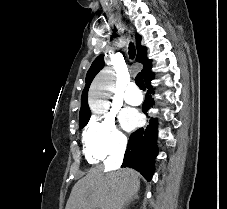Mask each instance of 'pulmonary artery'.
Masks as SVG:
<instances>
[{
	"instance_id": "pulmonary-artery-1",
	"label": "pulmonary artery",
	"mask_w": 227,
	"mask_h": 209,
	"mask_svg": "<svg viewBox=\"0 0 227 209\" xmlns=\"http://www.w3.org/2000/svg\"><path fill=\"white\" fill-rule=\"evenodd\" d=\"M138 83L137 82H126V87L124 88L126 93L124 96L125 102L130 105H140L143 101V97L139 92H134L135 88L137 87Z\"/></svg>"
}]
</instances>
